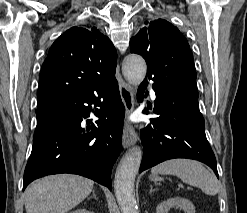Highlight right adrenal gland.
<instances>
[{
	"label": "right adrenal gland",
	"mask_w": 247,
	"mask_h": 213,
	"mask_svg": "<svg viewBox=\"0 0 247 213\" xmlns=\"http://www.w3.org/2000/svg\"><path fill=\"white\" fill-rule=\"evenodd\" d=\"M90 198H94V199L98 200V198H97V196L95 194V191H93L92 196Z\"/></svg>",
	"instance_id": "right-adrenal-gland-1"
}]
</instances>
